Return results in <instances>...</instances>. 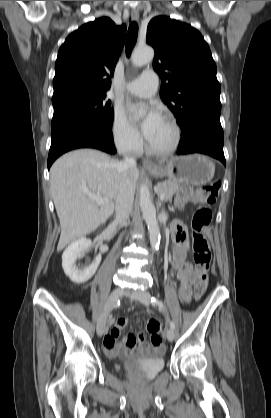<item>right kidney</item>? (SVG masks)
<instances>
[{"mask_svg": "<svg viewBox=\"0 0 271 418\" xmlns=\"http://www.w3.org/2000/svg\"><path fill=\"white\" fill-rule=\"evenodd\" d=\"M91 241L84 237H81L73 241L63 252L62 255V267L65 274L74 283L87 282L97 271V268L101 262V254H99L95 261L86 268H78L76 266V260L81 257V254L91 247Z\"/></svg>", "mask_w": 271, "mask_h": 418, "instance_id": "right-kidney-1", "label": "right kidney"}]
</instances>
